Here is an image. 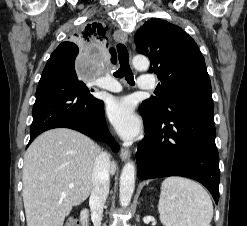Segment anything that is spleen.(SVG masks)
I'll return each instance as SVG.
<instances>
[{
	"label": "spleen",
	"mask_w": 247,
	"mask_h": 226,
	"mask_svg": "<svg viewBox=\"0 0 247 226\" xmlns=\"http://www.w3.org/2000/svg\"><path fill=\"white\" fill-rule=\"evenodd\" d=\"M159 212L166 226H210L213 205L198 183L183 177H168L161 186Z\"/></svg>",
	"instance_id": "obj_1"
}]
</instances>
